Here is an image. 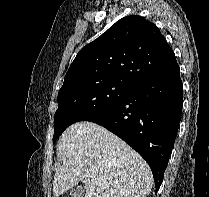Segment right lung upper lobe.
Returning a JSON list of instances; mask_svg holds the SVG:
<instances>
[{"mask_svg": "<svg viewBox=\"0 0 209 197\" xmlns=\"http://www.w3.org/2000/svg\"><path fill=\"white\" fill-rule=\"evenodd\" d=\"M175 62L173 50L154 23L141 16H127L79 51L62 87L104 80L135 87Z\"/></svg>", "mask_w": 209, "mask_h": 197, "instance_id": "1", "label": "right lung upper lobe"}]
</instances>
